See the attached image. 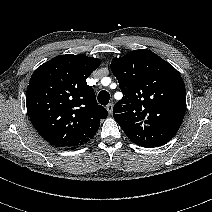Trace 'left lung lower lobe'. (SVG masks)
Listing matches in <instances>:
<instances>
[{"label":"left lung lower lobe","mask_w":212,"mask_h":212,"mask_svg":"<svg viewBox=\"0 0 212 212\" xmlns=\"http://www.w3.org/2000/svg\"><path fill=\"white\" fill-rule=\"evenodd\" d=\"M177 131L178 128L175 127L147 125L132 129L126 132V135L137 145L143 147H157L170 141Z\"/></svg>","instance_id":"1"}]
</instances>
